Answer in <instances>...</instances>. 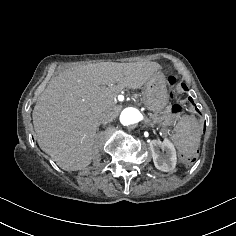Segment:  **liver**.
Returning a JSON list of instances; mask_svg holds the SVG:
<instances>
[{
  "mask_svg": "<svg viewBox=\"0 0 236 236\" xmlns=\"http://www.w3.org/2000/svg\"><path fill=\"white\" fill-rule=\"evenodd\" d=\"M161 68L150 61L102 62L53 77L32 113L39 147L63 170L87 167L99 126L118 116L114 97L124 88H141Z\"/></svg>",
  "mask_w": 236,
  "mask_h": 236,
  "instance_id": "6515ba94",
  "label": "liver"
}]
</instances>
